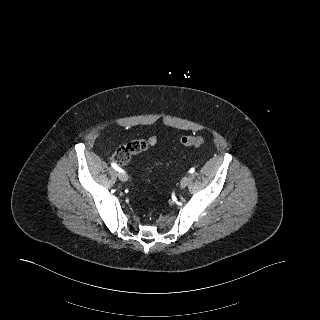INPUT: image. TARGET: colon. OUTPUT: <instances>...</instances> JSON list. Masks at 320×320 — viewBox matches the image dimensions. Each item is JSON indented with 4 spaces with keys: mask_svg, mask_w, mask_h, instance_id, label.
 <instances>
[{
    "mask_svg": "<svg viewBox=\"0 0 320 320\" xmlns=\"http://www.w3.org/2000/svg\"><path fill=\"white\" fill-rule=\"evenodd\" d=\"M181 144L185 147H201L206 144V140L201 136H184ZM150 147L146 140H133L119 147L114 156V161L119 165H125L131 156L147 150Z\"/></svg>",
    "mask_w": 320,
    "mask_h": 320,
    "instance_id": "5ec220e1",
    "label": "colon"
}]
</instances>
